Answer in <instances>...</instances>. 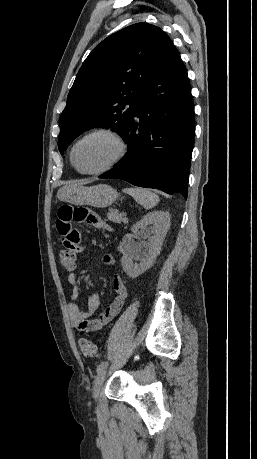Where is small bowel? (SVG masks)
Masks as SVG:
<instances>
[{
  "label": "small bowel",
  "instance_id": "c3829d8e",
  "mask_svg": "<svg viewBox=\"0 0 257 459\" xmlns=\"http://www.w3.org/2000/svg\"><path fill=\"white\" fill-rule=\"evenodd\" d=\"M80 226H88L89 229H109L107 224L99 217L98 209L92 205H60L57 212L56 230L60 236L62 247L66 251H75L76 257H87L88 250L83 248L82 236L79 233ZM103 263L107 267H113L116 259L113 255H105ZM67 282L71 286L70 298L67 311L72 326L82 335L95 332L112 321L121 311L128 295L127 287L119 275L113 277V288L115 298L112 303L96 319L89 317L96 311L99 305V298L96 293L88 296L87 308L82 309L75 302L80 295L78 279L74 272L67 276Z\"/></svg>",
  "mask_w": 257,
  "mask_h": 459
}]
</instances>
